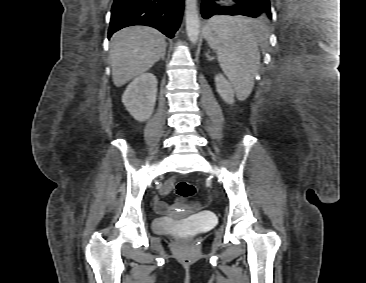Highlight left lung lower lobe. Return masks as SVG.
Returning <instances> with one entry per match:
<instances>
[{
	"label": "left lung lower lobe",
	"instance_id": "1",
	"mask_svg": "<svg viewBox=\"0 0 366 283\" xmlns=\"http://www.w3.org/2000/svg\"><path fill=\"white\" fill-rule=\"evenodd\" d=\"M236 4L232 7H220L214 4L213 0H203L201 13L204 19H209L214 15H243L252 18L260 17L264 14L259 0H234Z\"/></svg>",
	"mask_w": 366,
	"mask_h": 283
}]
</instances>
